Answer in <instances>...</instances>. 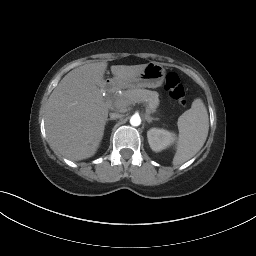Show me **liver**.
<instances>
[{"instance_id":"liver-1","label":"liver","mask_w":256,"mask_h":256,"mask_svg":"<svg viewBox=\"0 0 256 256\" xmlns=\"http://www.w3.org/2000/svg\"><path fill=\"white\" fill-rule=\"evenodd\" d=\"M147 66L112 65L115 84L121 86ZM107 62H89L73 69L51 93L45 127L51 147L60 155L79 161L95 155L103 138L108 106L99 87L106 82Z\"/></svg>"}]
</instances>
